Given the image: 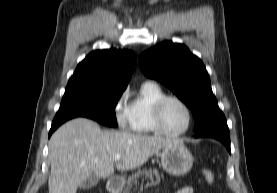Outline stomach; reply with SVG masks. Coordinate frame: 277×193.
Here are the masks:
<instances>
[{"mask_svg":"<svg viewBox=\"0 0 277 193\" xmlns=\"http://www.w3.org/2000/svg\"><path fill=\"white\" fill-rule=\"evenodd\" d=\"M163 169L171 175L182 176L188 173L193 165V156L182 142L164 147L160 152ZM124 179H116L114 188L121 190Z\"/></svg>","mask_w":277,"mask_h":193,"instance_id":"stomach-1","label":"stomach"}]
</instances>
